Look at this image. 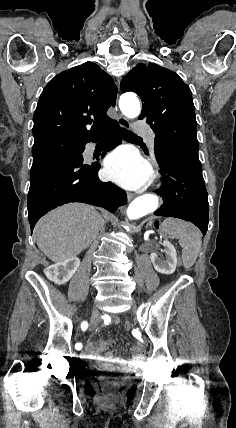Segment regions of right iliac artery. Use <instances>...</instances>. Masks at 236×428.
Listing matches in <instances>:
<instances>
[{
	"label": "right iliac artery",
	"mask_w": 236,
	"mask_h": 428,
	"mask_svg": "<svg viewBox=\"0 0 236 428\" xmlns=\"http://www.w3.org/2000/svg\"><path fill=\"white\" fill-rule=\"evenodd\" d=\"M88 328V323L86 322V321H83L82 322V324H81V329L83 330V331H85L86 329ZM82 344L81 343H76L75 344V349L76 350H81L82 349Z\"/></svg>",
	"instance_id": "1"
}]
</instances>
